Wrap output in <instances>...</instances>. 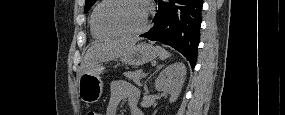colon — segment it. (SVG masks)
Wrapping results in <instances>:
<instances>
[{"label":"colon","mask_w":285,"mask_h":115,"mask_svg":"<svg viewBox=\"0 0 285 115\" xmlns=\"http://www.w3.org/2000/svg\"><path fill=\"white\" fill-rule=\"evenodd\" d=\"M100 113L99 112H97V111H95V110H89L88 112H87V115H99Z\"/></svg>","instance_id":"colon-1"}]
</instances>
